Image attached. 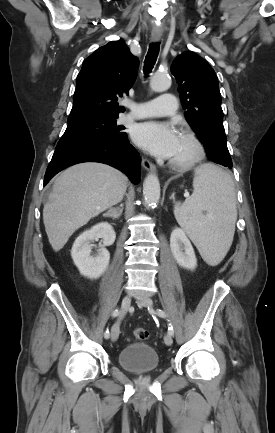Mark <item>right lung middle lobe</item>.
Wrapping results in <instances>:
<instances>
[{
    "label": "right lung middle lobe",
    "instance_id": "obj_1",
    "mask_svg": "<svg viewBox=\"0 0 275 433\" xmlns=\"http://www.w3.org/2000/svg\"><path fill=\"white\" fill-rule=\"evenodd\" d=\"M118 116L85 115L68 118V126L58 144L64 142H105L126 136L124 127L116 126Z\"/></svg>",
    "mask_w": 275,
    "mask_h": 433
}]
</instances>
